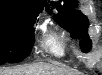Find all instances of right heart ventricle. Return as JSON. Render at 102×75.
I'll return each mask as SVG.
<instances>
[{
  "label": "right heart ventricle",
  "mask_w": 102,
  "mask_h": 75,
  "mask_svg": "<svg viewBox=\"0 0 102 75\" xmlns=\"http://www.w3.org/2000/svg\"><path fill=\"white\" fill-rule=\"evenodd\" d=\"M42 49L46 52L60 57L64 54V43L55 35H50L46 40L42 43Z\"/></svg>",
  "instance_id": "obj_1"
}]
</instances>
